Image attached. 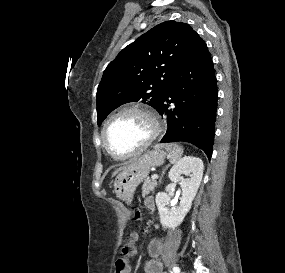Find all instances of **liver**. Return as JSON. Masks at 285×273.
<instances>
[{
    "label": "liver",
    "instance_id": "obj_1",
    "mask_svg": "<svg viewBox=\"0 0 285 273\" xmlns=\"http://www.w3.org/2000/svg\"><path fill=\"white\" fill-rule=\"evenodd\" d=\"M126 166H123V167H120L118 169H116L113 174H112V177H114L119 171H121L122 169H124Z\"/></svg>",
    "mask_w": 285,
    "mask_h": 273
}]
</instances>
